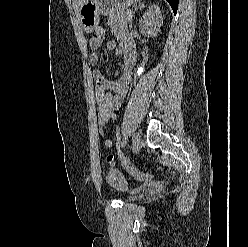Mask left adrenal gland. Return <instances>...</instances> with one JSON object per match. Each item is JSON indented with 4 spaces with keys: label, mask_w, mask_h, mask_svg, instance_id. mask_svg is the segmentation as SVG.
Here are the masks:
<instances>
[{
    "label": "left adrenal gland",
    "mask_w": 248,
    "mask_h": 247,
    "mask_svg": "<svg viewBox=\"0 0 248 247\" xmlns=\"http://www.w3.org/2000/svg\"><path fill=\"white\" fill-rule=\"evenodd\" d=\"M143 4L141 3V2H139V4H138V7H136L135 9H134V11H133V15L135 14V12L137 11V9H141V8H143Z\"/></svg>",
    "instance_id": "left-adrenal-gland-1"
}]
</instances>
